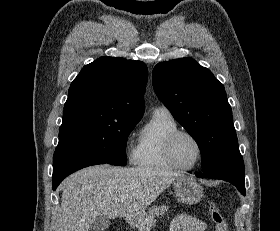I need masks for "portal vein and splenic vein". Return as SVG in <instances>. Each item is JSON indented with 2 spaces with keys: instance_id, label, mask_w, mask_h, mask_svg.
<instances>
[{
  "instance_id": "18ae733b",
  "label": "portal vein and splenic vein",
  "mask_w": 280,
  "mask_h": 231,
  "mask_svg": "<svg viewBox=\"0 0 280 231\" xmlns=\"http://www.w3.org/2000/svg\"><path fill=\"white\" fill-rule=\"evenodd\" d=\"M119 201H124V199H119Z\"/></svg>"
}]
</instances>
